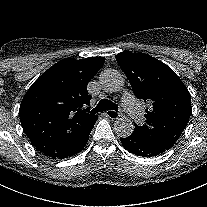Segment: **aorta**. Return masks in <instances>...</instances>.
I'll return each instance as SVG.
<instances>
[{"label": "aorta", "instance_id": "762f6f07", "mask_svg": "<svg viewBox=\"0 0 207 207\" xmlns=\"http://www.w3.org/2000/svg\"><path fill=\"white\" fill-rule=\"evenodd\" d=\"M99 81L106 92H116L123 88V75L115 69H105L101 72ZM115 133L122 138L129 137L134 131V124L127 117H120L114 122Z\"/></svg>", "mask_w": 207, "mask_h": 207}]
</instances>
